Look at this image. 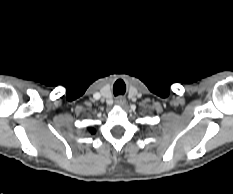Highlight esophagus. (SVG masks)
Returning <instances> with one entry per match:
<instances>
[{
	"instance_id": "1",
	"label": "esophagus",
	"mask_w": 233,
	"mask_h": 194,
	"mask_svg": "<svg viewBox=\"0 0 233 194\" xmlns=\"http://www.w3.org/2000/svg\"><path fill=\"white\" fill-rule=\"evenodd\" d=\"M115 103L118 106H123L125 104V99L123 97H117Z\"/></svg>"
}]
</instances>
